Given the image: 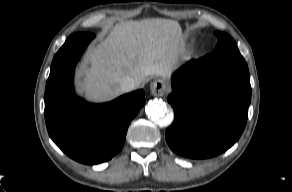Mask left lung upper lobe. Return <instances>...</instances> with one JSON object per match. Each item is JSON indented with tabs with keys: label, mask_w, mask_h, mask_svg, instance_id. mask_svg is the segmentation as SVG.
Wrapping results in <instances>:
<instances>
[{
	"label": "left lung upper lobe",
	"mask_w": 292,
	"mask_h": 192,
	"mask_svg": "<svg viewBox=\"0 0 292 192\" xmlns=\"http://www.w3.org/2000/svg\"><path fill=\"white\" fill-rule=\"evenodd\" d=\"M218 38V43L215 52L218 51H235L239 52L238 47L232 37L223 32H215Z\"/></svg>",
	"instance_id": "obj_1"
}]
</instances>
